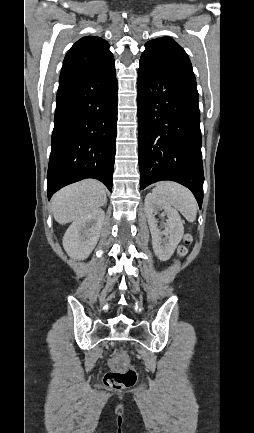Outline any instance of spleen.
<instances>
[{
	"label": "spleen",
	"mask_w": 254,
	"mask_h": 433,
	"mask_svg": "<svg viewBox=\"0 0 254 433\" xmlns=\"http://www.w3.org/2000/svg\"><path fill=\"white\" fill-rule=\"evenodd\" d=\"M152 191L166 203L180 211L189 222L196 219L197 202L193 194L184 186L165 181L158 183Z\"/></svg>",
	"instance_id": "1"
}]
</instances>
